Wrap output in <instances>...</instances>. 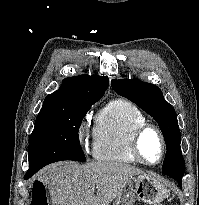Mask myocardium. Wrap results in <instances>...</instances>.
Wrapping results in <instances>:
<instances>
[{"label":"myocardium","instance_id":"f54148a6","mask_svg":"<svg viewBox=\"0 0 199 205\" xmlns=\"http://www.w3.org/2000/svg\"><path fill=\"white\" fill-rule=\"evenodd\" d=\"M147 132H154L160 140L161 156H160V159L156 162L148 161L144 157V155L141 151V139ZM130 151L138 162H140L144 165H148V166H155V165L162 163L165 156H166V153H167L166 139H165L162 131L157 126L147 123L143 126L136 128L133 131L132 136H131V140H130Z\"/></svg>","mask_w":199,"mask_h":205}]
</instances>
